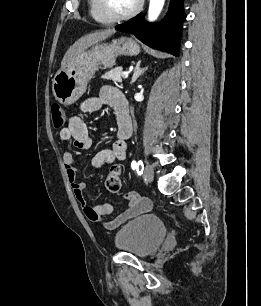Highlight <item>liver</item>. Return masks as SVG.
<instances>
[{
    "label": "liver",
    "instance_id": "6515ba94",
    "mask_svg": "<svg viewBox=\"0 0 261 306\" xmlns=\"http://www.w3.org/2000/svg\"><path fill=\"white\" fill-rule=\"evenodd\" d=\"M115 29H106L96 31L81 37L77 40L66 52L61 62V69L71 63L79 54L85 51L87 48L97 44L98 42L105 40L115 33Z\"/></svg>",
    "mask_w": 261,
    "mask_h": 306
}]
</instances>
